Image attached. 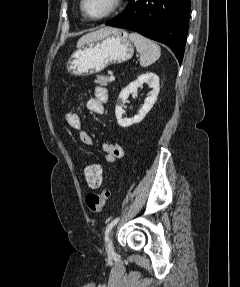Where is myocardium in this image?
<instances>
[{
    "mask_svg": "<svg viewBox=\"0 0 240 287\" xmlns=\"http://www.w3.org/2000/svg\"><path fill=\"white\" fill-rule=\"evenodd\" d=\"M121 3H122V0H112L111 6L108 9V11L105 12L104 14L100 15V16H95V17L90 16L87 13V10L85 7L86 0H81L80 8H81V11H82L84 17H86L88 20H90V21H102V20H105V19L111 17L119 9Z\"/></svg>",
    "mask_w": 240,
    "mask_h": 287,
    "instance_id": "f54148a6",
    "label": "myocardium"
}]
</instances>
